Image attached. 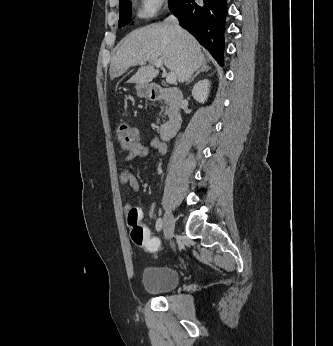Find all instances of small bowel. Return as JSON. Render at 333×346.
<instances>
[{
	"mask_svg": "<svg viewBox=\"0 0 333 346\" xmlns=\"http://www.w3.org/2000/svg\"><path fill=\"white\" fill-rule=\"evenodd\" d=\"M149 145L154 147L160 155H164L167 151L166 146L157 138H152L149 141ZM149 154V147L138 143L134 149L129 151L127 156L125 157V162H131L136 159L146 158ZM120 180L122 184L129 186V188L133 191H138L140 188L139 181L129 170H123L120 176ZM131 207L129 205L126 206V209L129 210Z\"/></svg>",
	"mask_w": 333,
	"mask_h": 346,
	"instance_id": "c3829d8e",
	"label": "small bowel"
}]
</instances>
